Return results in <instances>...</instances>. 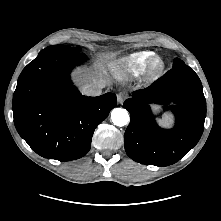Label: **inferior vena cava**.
Masks as SVG:
<instances>
[{
  "label": "inferior vena cava",
  "instance_id": "1",
  "mask_svg": "<svg viewBox=\"0 0 221 221\" xmlns=\"http://www.w3.org/2000/svg\"><path fill=\"white\" fill-rule=\"evenodd\" d=\"M105 82L87 84L83 88V92L88 96H99L102 94V89L105 88Z\"/></svg>",
  "mask_w": 221,
  "mask_h": 221
}]
</instances>
